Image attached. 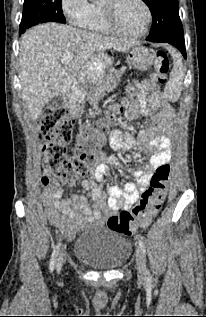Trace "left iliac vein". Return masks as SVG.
<instances>
[{
	"label": "left iliac vein",
	"instance_id": "obj_1",
	"mask_svg": "<svg viewBox=\"0 0 206 317\" xmlns=\"http://www.w3.org/2000/svg\"><path fill=\"white\" fill-rule=\"evenodd\" d=\"M136 266L138 275L141 279H144L146 276V264L144 260V256L140 248H137L136 251Z\"/></svg>",
	"mask_w": 206,
	"mask_h": 317
}]
</instances>
